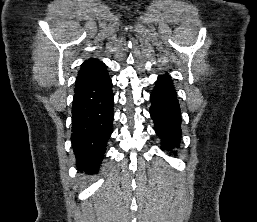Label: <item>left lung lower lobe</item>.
<instances>
[{
  "mask_svg": "<svg viewBox=\"0 0 257 222\" xmlns=\"http://www.w3.org/2000/svg\"><path fill=\"white\" fill-rule=\"evenodd\" d=\"M151 118L156 134L162 140V150L179 147L181 141V114L177 95L169 75L159 76L150 96ZM176 153V152H174Z\"/></svg>",
  "mask_w": 257,
  "mask_h": 222,
  "instance_id": "1",
  "label": "left lung lower lobe"
}]
</instances>
